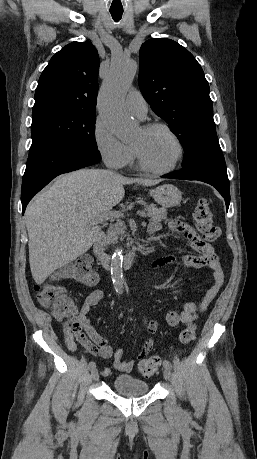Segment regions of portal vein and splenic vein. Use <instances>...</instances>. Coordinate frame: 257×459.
<instances>
[{
  "instance_id": "portal-vein-and-splenic-vein-1",
  "label": "portal vein and splenic vein",
  "mask_w": 257,
  "mask_h": 459,
  "mask_svg": "<svg viewBox=\"0 0 257 459\" xmlns=\"http://www.w3.org/2000/svg\"><path fill=\"white\" fill-rule=\"evenodd\" d=\"M137 214L143 218H146L147 215L145 212H142V211H139L137 212ZM123 217V214L119 211H112V212H109L108 214H105L101 219H100V222L104 221V220H108L109 218H121Z\"/></svg>"
}]
</instances>
